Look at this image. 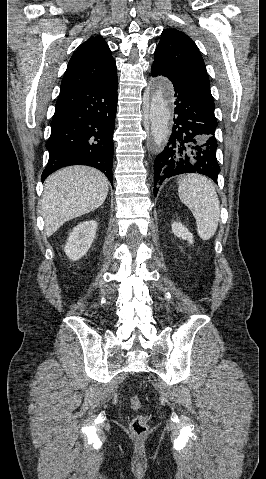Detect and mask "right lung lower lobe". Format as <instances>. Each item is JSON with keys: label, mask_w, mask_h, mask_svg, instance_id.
<instances>
[{"label": "right lung lower lobe", "mask_w": 266, "mask_h": 479, "mask_svg": "<svg viewBox=\"0 0 266 479\" xmlns=\"http://www.w3.org/2000/svg\"><path fill=\"white\" fill-rule=\"evenodd\" d=\"M118 78L82 87L61 89L46 143L49 161L42 182L70 165L101 170L112 182L113 132Z\"/></svg>", "instance_id": "right-lung-lower-lobe-1"}]
</instances>
